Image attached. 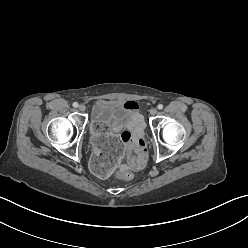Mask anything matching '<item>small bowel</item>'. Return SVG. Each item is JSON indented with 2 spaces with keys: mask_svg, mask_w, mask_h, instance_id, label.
Listing matches in <instances>:
<instances>
[{
  "mask_svg": "<svg viewBox=\"0 0 248 248\" xmlns=\"http://www.w3.org/2000/svg\"><path fill=\"white\" fill-rule=\"evenodd\" d=\"M132 113L129 121L117 128L123 130L120 139L124 144L125 163L121 164L123 169L139 170L145 164L147 158V146L143 138V119L138 113V104L133 100L123 103Z\"/></svg>",
  "mask_w": 248,
  "mask_h": 248,
  "instance_id": "c3829d8e",
  "label": "small bowel"
}]
</instances>
